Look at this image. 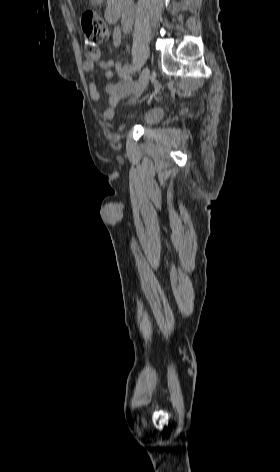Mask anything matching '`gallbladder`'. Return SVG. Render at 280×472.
<instances>
[{
  "instance_id": "1",
  "label": "gallbladder",
  "mask_w": 280,
  "mask_h": 472,
  "mask_svg": "<svg viewBox=\"0 0 280 472\" xmlns=\"http://www.w3.org/2000/svg\"><path fill=\"white\" fill-rule=\"evenodd\" d=\"M103 0H91V4L93 6H98L102 3Z\"/></svg>"
}]
</instances>
